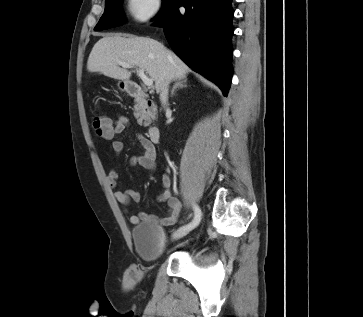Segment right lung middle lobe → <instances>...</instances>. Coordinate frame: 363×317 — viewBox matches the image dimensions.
Instances as JSON below:
<instances>
[{
	"instance_id": "dd1d6c3e",
	"label": "right lung middle lobe",
	"mask_w": 363,
	"mask_h": 317,
	"mask_svg": "<svg viewBox=\"0 0 363 317\" xmlns=\"http://www.w3.org/2000/svg\"><path fill=\"white\" fill-rule=\"evenodd\" d=\"M171 2L172 0H164L163 12L170 5ZM120 7L121 0H106L104 14L100 18L94 30L101 31L122 25V23L124 22V17ZM159 16L160 14L157 17Z\"/></svg>"
}]
</instances>
